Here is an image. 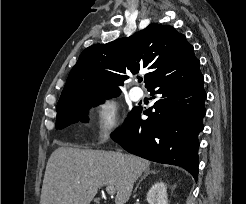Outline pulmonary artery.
<instances>
[{"mask_svg":"<svg viewBox=\"0 0 246 204\" xmlns=\"http://www.w3.org/2000/svg\"><path fill=\"white\" fill-rule=\"evenodd\" d=\"M143 97V92L140 88L138 87H134L131 89L130 91V98L133 100V101H139L141 100Z\"/></svg>","mask_w":246,"mask_h":204,"instance_id":"pulmonary-artery-1","label":"pulmonary artery"}]
</instances>
